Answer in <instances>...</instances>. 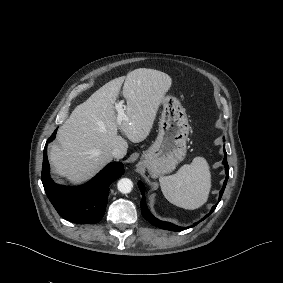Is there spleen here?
I'll use <instances>...</instances> for the list:
<instances>
[{
	"label": "spleen",
	"mask_w": 283,
	"mask_h": 283,
	"mask_svg": "<svg viewBox=\"0 0 283 283\" xmlns=\"http://www.w3.org/2000/svg\"><path fill=\"white\" fill-rule=\"evenodd\" d=\"M159 184L170 203L186 210H196L209 199L212 188L211 167L205 157L197 156L176 175L160 177Z\"/></svg>",
	"instance_id": "obj_1"
}]
</instances>
